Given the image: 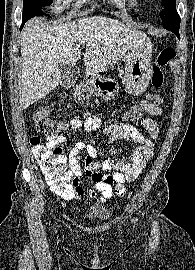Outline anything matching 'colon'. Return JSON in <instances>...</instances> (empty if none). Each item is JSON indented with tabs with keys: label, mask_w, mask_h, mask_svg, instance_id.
<instances>
[{
	"label": "colon",
	"mask_w": 195,
	"mask_h": 270,
	"mask_svg": "<svg viewBox=\"0 0 195 270\" xmlns=\"http://www.w3.org/2000/svg\"><path fill=\"white\" fill-rule=\"evenodd\" d=\"M176 57L173 47L163 48L155 59L152 73L151 85L158 89L164 83L163 69ZM75 98L80 102H89L91 98L89 88L81 80H76L74 85ZM162 99L157 94L148 95L133 106L124 116L125 120L134 118L139 113H146L155 107L161 106ZM34 127L38 132L45 134L48 138L59 135L66 128V124L50 118L48 108L36 110L33 114ZM30 142L33 146V154L45 174L51 190L59 195L67 194L72 189V178L66 168V158L58 145L43 144L40 138L32 136Z\"/></svg>",
	"instance_id": "5ec220e1"
}]
</instances>
